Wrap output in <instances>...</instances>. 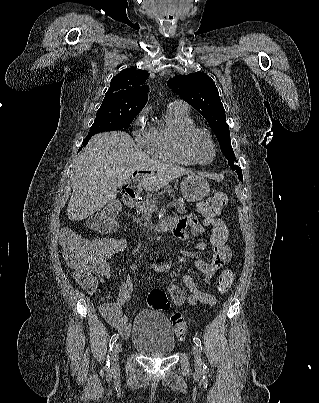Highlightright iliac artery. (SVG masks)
I'll list each match as a JSON object with an SVG mask.
<instances>
[{
  "label": "right iliac artery",
  "mask_w": 319,
  "mask_h": 403,
  "mask_svg": "<svg viewBox=\"0 0 319 403\" xmlns=\"http://www.w3.org/2000/svg\"><path fill=\"white\" fill-rule=\"evenodd\" d=\"M118 337H119V334H118V333H115V334L112 335V337H111V339H110V342H109V354L111 353V351H112V349H113V346L115 345V343H116ZM109 354L107 355V361H106V366H105V368H106L108 371H110V360H109L110 355H109Z\"/></svg>",
  "instance_id": "1"
}]
</instances>
